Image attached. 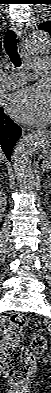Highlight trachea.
<instances>
[{
  "mask_svg": "<svg viewBox=\"0 0 51 393\" xmlns=\"http://www.w3.org/2000/svg\"><path fill=\"white\" fill-rule=\"evenodd\" d=\"M4 48L8 56L10 57L15 67L21 66V59L17 50V38L16 33L13 30H7L4 35Z\"/></svg>",
  "mask_w": 51,
  "mask_h": 393,
  "instance_id": "3493384b",
  "label": "trachea"
}]
</instances>
